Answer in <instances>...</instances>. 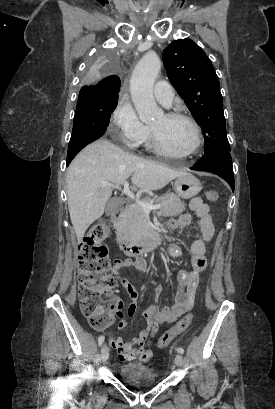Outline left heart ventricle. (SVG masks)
<instances>
[{
  "label": "left heart ventricle",
  "instance_id": "b2bd125f",
  "mask_svg": "<svg viewBox=\"0 0 275 409\" xmlns=\"http://www.w3.org/2000/svg\"><path fill=\"white\" fill-rule=\"evenodd\" d=\"M150 127L162 138L165 145L173 151L185 152L194 141L192 127L184 120L168 121L159 116Z\"/></svg>",
  "mask_w": 275,
  "mask_h": 409
}]
</instances>
